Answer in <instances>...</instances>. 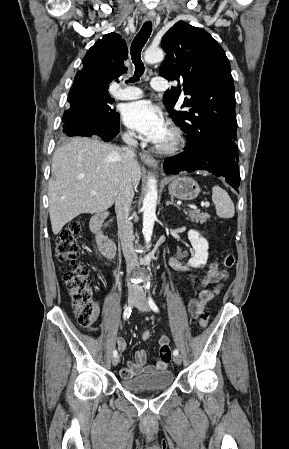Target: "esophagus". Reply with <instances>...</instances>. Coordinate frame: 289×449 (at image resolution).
<instances>
[{
	"instance_id": "obj_1",
	"label": "esophagus",
	"mask_w": 289,
	"mask_h": 449,
	"mask_svg": "<svg viewBox=\"0 0 289 449\" xmlns=\"http://www.w3.org/2000/svg\"><path fill=\"white\" fill-rule=\"evenodd\" d=\"M155 18H156V14L154 12H149L147 14V19L148 20L154 21ZM139 155H140L141 160L145 164H147L148 166L153 167V168H157L158 167L157 161L151 155H149V154H147L145 152H140Z\"/></svg>"
}]
</instances>
